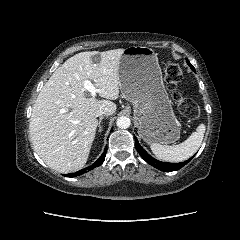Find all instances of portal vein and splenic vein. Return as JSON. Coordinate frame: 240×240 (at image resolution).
<instances>
[{
	"mask_svg": "<svg viewBox=\"0 0 240 240\" xmlns=\"http://www.w3.org/2000/svg\"><path fill=\"white\" fill-rule=\"evenodd\" d=\"M84 88L90 92L92 97H95L96 93L100 92V89H97L89 80L84 81Z\"/></svg>",
	"mask_w": 240,
	"mask_h": 240,
	"instance_id": "obj_1",
	"label": "portal vein and splenic vein"
}]
</instances>
